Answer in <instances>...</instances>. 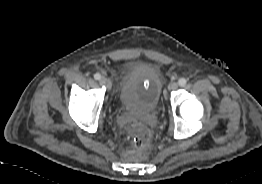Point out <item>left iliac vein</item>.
<instances>
[{"mask_svg": "<svg viewBox=\"0 0 262 184\" xmlns=\"http://www.w3.org/2000/svg\"><path fill=\"white\" fill-rule=\"evenodd\" d=\"M178 88V83L177 82H171L169 85H168V90L169 91H174Z\"/></svg>", "mask_w": 262, "mask_h": 184, "instance_id": "4c4485c4", "label": "left iliac vein"}]
</instances>
